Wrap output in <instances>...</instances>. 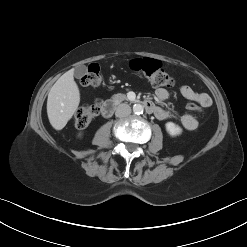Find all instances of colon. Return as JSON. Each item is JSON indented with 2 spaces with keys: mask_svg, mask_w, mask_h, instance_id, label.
<instances>
[{
  "mask_svg": "<svg viewBox=\"0 0 247 247\" xmlns=\"http://www.w3.org/2000/svg\"><path fill=\"white\" fill-rule=\"evenodd\" d=\"M133 72L146 78L156 87H171L174 84L173 77L164 70L162 63L154 58H139L130 62ZM81 83L87 87H98L102 83V76L98 64L92 63L88 66L87 72L81 78ZM188 110L198 111L200 106L189 102L186 105ZM100 105L98 102L87 104L81 107L75 114L74 123L77 128L87 127L98 115Z\"/></svg>",
  "mask_w": 247,
  "mask_h": 247,
  "instance_id": "5ec220e1",
  "label": "colon"
}]
</instances>
